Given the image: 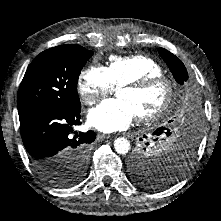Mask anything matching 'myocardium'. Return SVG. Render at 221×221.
I'll list each match as a JSON object with an SVG mask.
<instances>
[{"instance_id": "obj_1", "label": "myocardium", "mask_w": 221, "mask_h": 221, "mask_svg": "<svg viewBox=\"0 0 221 221\" xmlns=\"http://www.w3.org/2000/svg\"><path fill=\"white\" fill-rule=\"evenodd\" d=\"M158 84H164L167 88V98L165 102L156 111L137 116V120L141 123L154 122L161 119L171 109L177 92V85L173 79L165 75L147 76L140 80L129 82L120 87V89H128L136 92L144 91Z\"/></svg>"}]
</instances>
